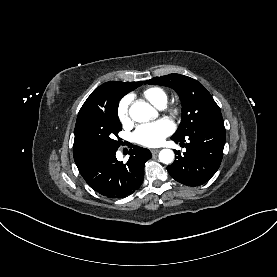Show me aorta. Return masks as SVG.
<instances>
[{
  "label": "aorta",
  "mask_w": 277,
  "mask_h": 277,
  "mask_svg": "<svg viewBox=\"0 0 277 277\" xmlns=\"http://www.w3.org/2000/svg\"><path fill=\"white\" fill-rule=\"evenodd\" d=\"M130 117L136 122H147L157 111L145 102H136L129 109ZM159 160L164 164H170L174 160V152L170 149H163L159 153Z\"/></svg>",
  "instance_id": "762f6f07"
}]
</instances>
